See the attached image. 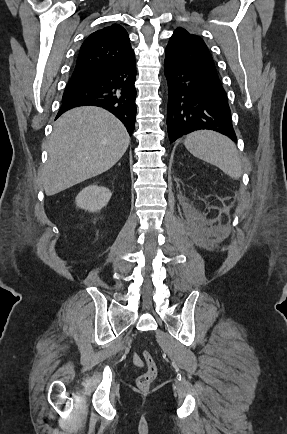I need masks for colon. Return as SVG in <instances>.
<instances>
[{"label":"colon","mask_w":287,"mask_h":434,"mask_svg":"<svg viewBox=\"0 0 287 434\" xmlns=\"http://www.w3.org/2000/svg\"><path fill=\"white\" fill-rule=\"evenodd\" d=\"M142 357L147 370L137 378L136 384L139 389L147 390L157 377L158 366L150 352L144 351Z\"/></svg>","instance_id":"obj_1"}]
</instances>
